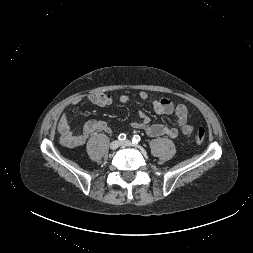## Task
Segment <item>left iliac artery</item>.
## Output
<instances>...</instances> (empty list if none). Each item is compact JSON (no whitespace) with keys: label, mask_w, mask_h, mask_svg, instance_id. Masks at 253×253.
<instances>
[{"label":"left iliac artery","mask_w":253,"mask_h":253,"mask_svg":"<svg viewBox=\"0 0 253 253\" xmlns=\"http://www.w3.org/2000/svg\"><path fill=\"white\" fill-rule=\"evenodd\" d=\"M141 138L139 135H134L133 139H132V143L133 144H137L138 142H140Z\"/></svg>","instance_id":"obj_1"}]
</instances>
